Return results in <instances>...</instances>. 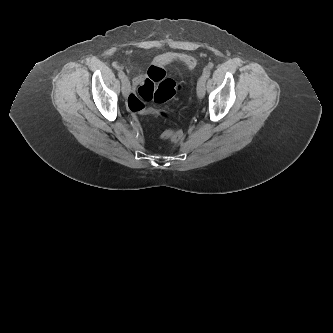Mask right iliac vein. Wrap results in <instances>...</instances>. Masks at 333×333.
<instances>
[{"label": "right iliac vein", "mask_w": 333, "mask_h": 333, "mask_svg": "<svg viewBox=\"0 0 333 333\" xmlns=\"http://www.w3.org/2000/svg\"><path fill=\"white\" fill-rule=\"evenodd\" d=\"M130 90V85L128 82H123L122 83V92L124 96H127V94L129 93Z\"/></svg>", "instance_id": "1"}]
</instances>
